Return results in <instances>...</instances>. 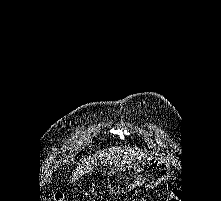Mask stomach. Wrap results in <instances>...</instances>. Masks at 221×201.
Here are the masks:
<instances>
[{
	"instance_id": "stomach-1",
	"label": "stomach",
	"mask_w": 221,
	"mask_h": 201,
	"mask_svg": "<svg viewBox=\"0 0 221 201\" xmlns=\"http://www.w3.org/2000/svg\"><path fill=\"white\" fill-rule=\"evenodd\" d=\"M170 171L169 159L148 156L137 163L113 167L107 176V188L111 193L124 194L136 186L156 187L168 179Z\"/></svg>"
}]
</instances>
